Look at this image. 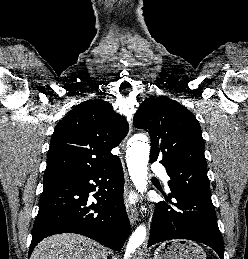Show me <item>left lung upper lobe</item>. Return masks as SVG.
<instances>
[{
	"mask_svg": "<svg viewBox=\"0 0 248 259\" xmlns=\"http://www.w3.org/2000/svg\"><path fill=\"white\" fill-rule=\"evenodd\" d=\"M133 124L149 132L151 162L165 166L171 191L211 198L201 127L186 107L166 96L147 98Z\"/></svg>",
	"mask_w": 248,
	"mask_h": 259,
	"instance_id": "5c2ea615",
	"label": "left lung upper lobe"
}]
</instances>
